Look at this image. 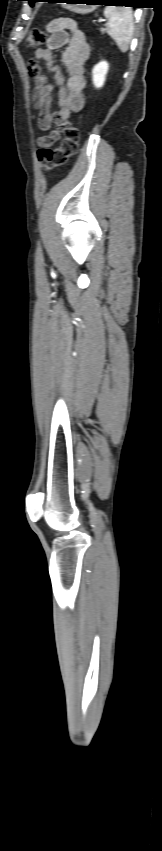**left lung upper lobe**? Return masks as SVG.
I'll return each instance as SVG.
<instances>
[{
	"mask_svg": "<svg viewBox=\"0 0 162 851\" xmlns=\"http://www.w3.org/2000/svg\"><path fill=\"white\" fill-rule=\"evenodd\" d=\"M27 1H29L31 6H33L34 2H36L37 0H27Z\"/></svg>",
	"mask_w": 162,
	"mask_h": 851,
	"instance_id": "5c2ea615",
	"label": "left lung upper lobe"
}]
</instances>
